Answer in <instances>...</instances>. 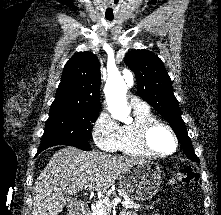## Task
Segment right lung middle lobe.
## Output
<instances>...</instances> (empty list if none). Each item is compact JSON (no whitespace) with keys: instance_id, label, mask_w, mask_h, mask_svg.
Wrapping results in <instances>:
<instances>
[{"instance_id":"obj_1","label":"right lung middle lobe","mask_w":221,"mask_h":215,"mask_svg":"<svg viewBox=\"0 0 221 215\" xmlns=\"http://www.w3.org/2000/svg\"><path fill=\"white\" fill-rule=\"evenodd\" d=\"M99 111L64 110L50 113L46 121L41 146L67 145L90 141L93 123Z\"/></svg>"}]
</instances>
